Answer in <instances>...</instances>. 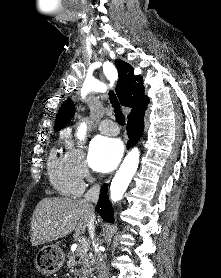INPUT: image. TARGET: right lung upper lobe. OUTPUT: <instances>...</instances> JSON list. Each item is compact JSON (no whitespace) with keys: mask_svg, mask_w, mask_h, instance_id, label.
Instances as JSON below:
<instances>
[{"mask_svg":"<svg viewBox=\"0 0 221 278\" xmlns=\"http://www.w3.org/2000/svg\"><path fill=\"white\" fill-rule=\"evenodd\" d=\"M115 65L119 72V80L116 86L117 96L123 106L132 107L128 120L143 118L149 99L144 95L142 77L135 76L133 67L122 60H116ZM74 111V103L71 99H67L58 111L54 131L64 128L74 116Z\"/></svg>","mask_w":221,"mask_h":278,"instance_id":"cb5924a9","label":"right lung upper lobe"}]
</instances>
